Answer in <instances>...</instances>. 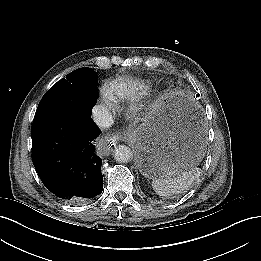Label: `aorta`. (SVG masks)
<instances>
[{"instance_id": "obj_1", "label": "aorta", "mask_w": 261, "mask_h": 261, "mask_svg": "<svg viewBox=\"0 0 261 261\" xmlns=\"http://www.w3.org/2000/svg\"><path fill=\"white\" fill-rule=\"evenodd\" d=\"M133 157V153L128 146L119 145L114 150V158L117 162L127 163Z\"/></svg>"}]
</instances>
